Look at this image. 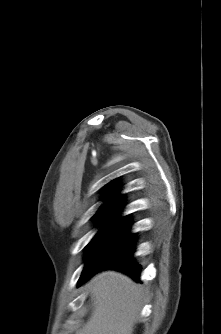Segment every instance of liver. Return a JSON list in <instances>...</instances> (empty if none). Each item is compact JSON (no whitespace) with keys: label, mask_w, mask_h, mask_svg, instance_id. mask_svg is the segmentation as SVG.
Masks as SVG:
<instances>
[{"label":"liver","mask_w":221,"mask_h":334,"mask_svg":"<svg viewBox=\"0 0 221 334\" xmlns=\"http://www.w3.org/2000/svg\"><path fill=\"white\" fill-rule=\"evenodd\" d=\"M93 311L76 334H132L141 310L143 289L128 276L103 271L87 284Z\"/></svg>","instance_id":"liver-1"}]
</instances>
